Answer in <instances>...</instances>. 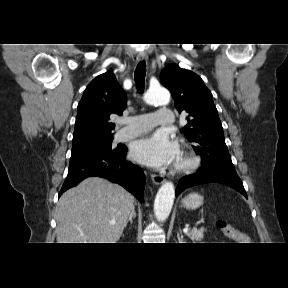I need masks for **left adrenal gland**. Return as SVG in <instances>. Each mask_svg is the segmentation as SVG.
I'll return each instance as SVG.
<instances>
[{"label": "left adrenal gland", "instance_id": "left-adrenal-gland-1", "mask_svg": "<svg viewBox=\"0 0 288 288\" xmlns=\"http://www.w3.org/2000/svg\"><path fill=\"white\" fill-rule=\"evenodd\" d=\"M177 238H178L179 243H183L184 242L183 241V236L180 237L179 233H177Z\"/></svg>", "mask_w": 288, "mask_h": 288}]
</instances>
